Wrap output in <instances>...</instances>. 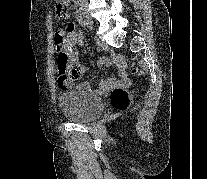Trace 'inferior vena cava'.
Instances as JSON below:
<instances>
[{
    "label": "inferior vena cava",
    "mask_w": 207,
    "mask_h": 179,
    "mask_svg": "<svg viewBox=\"0 0 207 179\" xmlns=\"http://www.w3.org/2000/svg\"><path fill=\"white\" fill-rule=\"evenodd\" d=\"M79 2L86 3L87 0H78Z\"/></svg>",
    "instance_id": "obj_1"
}]
</instances>
